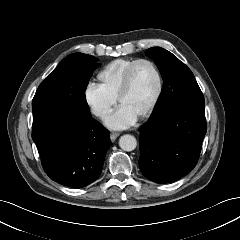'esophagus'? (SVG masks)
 <instances>
[{"label":"esophagus","instance_id":"34e87169","mask_svg":"<svg viewBox=\"0 0 240 240\" xmlns=\"http://www.w3.org/2000/svg\"><path fill=\"white\" fill-rule=\"evenodd\" d=\"M120 134L117 132H111L110 138L112 141H115Z\"/></svg>","mask_w":240,"mask_h":240}]
</instances>
